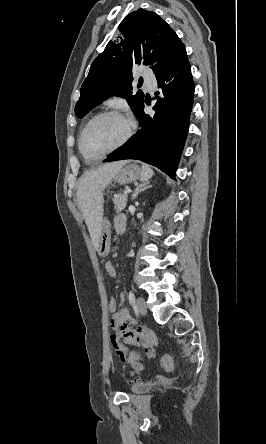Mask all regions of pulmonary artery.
I'll return each instance as SVG.
<instances>
[{"label": "pulmonary artery", "mask_w": 266, "mask_h": 444, "mask_svg": "<svg viewBox=\"0 0 266 444\" xmlns=\"http://www.w3.org/2000/svg\"><path fill=\"white\" fill-rule=\"evenodd\" d=\"M142 78H143V80H144L145 85L147 86V88H148L150 91H153V90L155 89V87H156V84H157L155 78H154L152 75H150V74H148V73H146V72H143V73H142Z\"/></svg>", "instance_id": "1"}]
</instances>
